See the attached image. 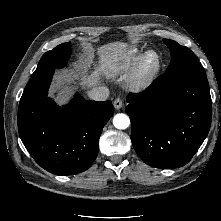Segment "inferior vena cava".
<instances>
[{
    "instance_id": "602c4592",
    "label": "inferior vena cava",
    "mask_w": 221,
    "mask_h": 221,
    "mask_svg": "<svg viewBox=\"0 0 221 221\" xmlns=\"http://www.w3.org/2000/svg\"><path fill=\"white\" fill-rule=\"evenodd\" d=\"M109 93L110 92L107 87L98 86V87L92 88L89 91L88 96L91 100H94V101H105L108 99Z\"/></svg>"
}]
</instances>
